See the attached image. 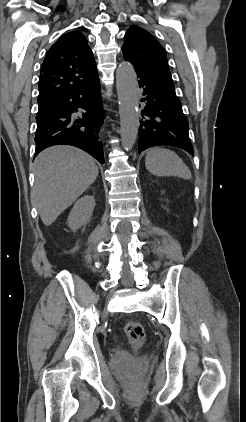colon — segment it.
<instances>
[{
	"instance_id": "1",
	"label": "colon",
	"mask_w": 246,
	"mask_h": 422,
	"mask_svg": "<svg viewBox=\"0 0 246 422\" xmlns=\"http://www.w3.org/2000/svg\"><path fill=\"white\" fill-rule=\"evenodd\" d=\"M125 335L134 348H140L145 343L146 334L141 323L130 320L124 327Z\"/></svg>"
}]
</instances>
